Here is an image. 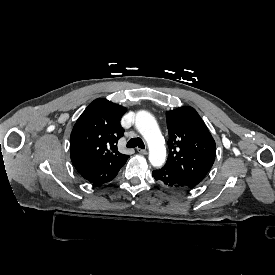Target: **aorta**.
<instances>
[{
  "label": "aorta",
  "mask_w": 275,
  "mask_h": 275,
  "mask_svg": "<svg viewBox=\"0 0 275 275\" xmlns=\"http://www.w3.org/2000/svg\"><path fill=\"white\" fill-rule=\"evenodd\" d=\"M136 128L149 145V160L153 166H161L165 162L166 152L159 143L161 131L153 115L141 111L136 117Z\"/></svg>",
  "instance_id": "aorta-1"
}]
</instances>
